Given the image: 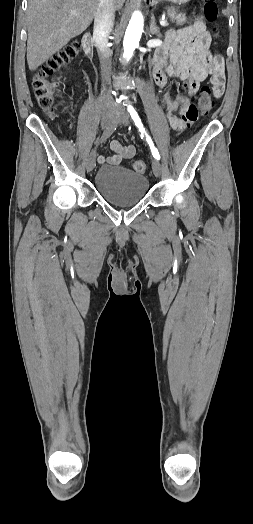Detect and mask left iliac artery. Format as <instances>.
I'll use <instances>...</instances> for the list:
<instances>
[{
	"mask_svg": "<svg viewBox=\"0 0 253 524\" xmlns=\"http://www.w3.org/2000/svg\"><path fill=\"white\" fill-rule=\"evenodd\" d=\"M128 112L131 116V118L133 119L135 125L139 128L140 132L141 133H144L146 135V140L150 146V149H151V152H152V155L156 158V159H160V155L158 153V150L156 149V147L154 146V143L152 141V139L150 138V136L146 133L145 131V128L143 127V124L141 122V119L140 117L138 116V113L136 112V110L131 106L129 105L128 106Z\"/></svg>",
	"mask_w": 253,
	"mask_h": 524,
	"instance_id": "1",
	"label": "left iliac artery"
}]
</instances>
